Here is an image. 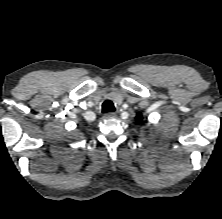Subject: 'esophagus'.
<instances>
[{"mask_svg":"<svg viewBox=\"0 0 222 219\" xmlns=\"http://www.w3.org/2000/svg\"><path fill=\"white\" fill-rule=\"evenodd\" d=\"M115 116L116 114L114 112H109L104 115V118L110 119V118H114Z\"/></svg>","mask_w":222,"mask_h":219,"instance_id":"obj_1","label":"esophagus"}]
</instances>
